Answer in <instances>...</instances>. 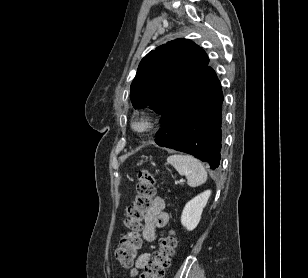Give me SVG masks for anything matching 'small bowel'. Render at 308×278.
<instances>
[{
	"instance_id": "1",
	"label": "small bowel",
	"mask_w": 308,
	"mask_h": 278,
	"mask_svg": "<svg viewBox=\"0 0 308 278\" xmlns=\"http://www.w3.org/2000/svg\"><path fill=\"white\" fill-rule=\"evenodd\" d=\"M168 221L169 215L165 211V201L159 196L155 197L144 219V228L142 232L144 241L152 245L156 240V229L166 226ZM150 257L151 255L149 252L140 254L135 261V267L131 275L134 276L139 270L143 269L150 261Z\"/></svg>"
}]
</instances>
